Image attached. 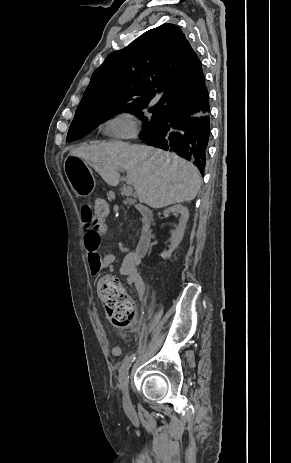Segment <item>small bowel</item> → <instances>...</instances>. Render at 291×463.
<instances>
[{
  "instance_id": "obj_1",
  "label": "small bowel",
  "mask_w": 291,
  "mask_h": 463,
  "mask_svg": "<svg viewBox=\"0 0 291 463\" xmlns=\"http://www.w3.org/2000/svg\"><path fill=\"white\" fill-rule=\"evenodd\" d=\"M106 218L107 217H96L93 226L88 228L83 235V248L86 254L88 269L90 274L94 277L98 276L103 269L112 267L116 261V257L112 253L104 255L99 253L101 236L107 231ZM140 257L141 256L135 251L126 253L120 271L121 274L125 276L127 284L133 286L138 292L139 298L142 299L145 286L142 278L137 272ZM111 353L114 356H120V347H113Z\"/></svg>"
}]
</instances>
